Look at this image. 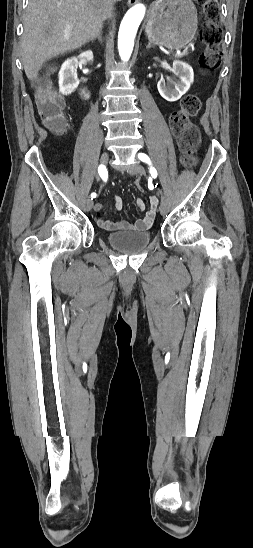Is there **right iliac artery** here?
<instances>
[{"label": "right iliac artery", "instance_id": "right-iliac-artery-1", "mask_svg": "<svg viewBox=\"0 0 253 548\" xmlns=\"http://www.w3.org/2000/svg\"><path fill=\"white\" fill-rule=\"evenodd\" d=\"M98 173L104 181L107 180L108 173H107V169L104 165H100L98 167ZM95 197H96V193H91V200H93Z\"/></svg>", "mask_w": 253, "mask_h": 548}]
</instances>
